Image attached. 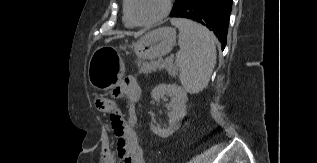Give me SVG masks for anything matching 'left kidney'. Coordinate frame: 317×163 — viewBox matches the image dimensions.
Masks as SVG:
<instances>
[{"label": "left kidney", "mask_w": 317, "mask_h": 163, "mask_svg": "<svg viewBox=\"0 0 317 163\" xmlns=\"http://www.w3.org/2000/svg\"><path fill=\"white\" fill-rule=\"evenodd\" d=\"M165 95L171 97L168 104V107L171 108L169 127L161 129L152 123L150 125L152 132L162 138L172 135L180 127V121L186 114V102L188 100L186 90L175 84H159L151 92V97L155 101H159Z\"/></svg>", "instance_id": "1"}]
</instances>
